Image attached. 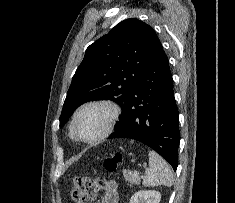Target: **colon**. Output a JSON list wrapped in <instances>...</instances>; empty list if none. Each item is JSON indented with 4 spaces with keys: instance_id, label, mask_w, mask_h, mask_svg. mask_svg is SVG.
Masks as SVG:
<instances>
[{
    "instance_id": "5ec220e1",
    "label": "colon",
    "mask_w": 235,
    "mask_h": 203,
    "mask_svg": "<svg viewBox=\"0 0 235 203\" xmlns=\"http://www.w3.org/2000/svg\"><path fill=\"white\" fill-rule=\"evenodd\" d=\"M121 154L116 153L114 156L105 160V168L107 171H114L121 161ZM103 189V181L98 178L87 176L76 177L73 180L72 198L78 203H83L86 200L94 199Z\"/></svg>"
}]
</instances>
